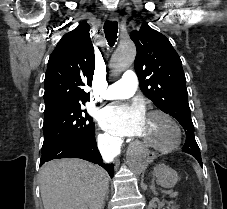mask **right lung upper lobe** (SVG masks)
<instances>
[{
	"label": "right lung upper lobe",
	"mask_w": 227,
	"mask_h": 209,
	"mask_svg": "<svg viewBox=\"0 0 227 209\" xmlns=\"http://www.w3.org/2000/svg\"><path fill=\"white\" fill-rule=\"evenodd\" d=\"M86 21L65 34L50 55L45 75L44 101L54 98L89 99L83 89L92 85L95 69L93 44Z\"/></svg>",
	"instance_id": "cb5924a9"
}]
</instances>
